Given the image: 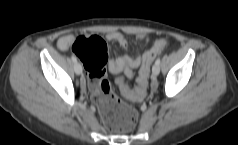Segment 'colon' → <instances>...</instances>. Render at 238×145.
Segmentation results:
<instances>
[{"label": "colon", "instance_id": "colon-1", "mask_svg": "<svg viewBox=\"0 0 238 145\" xmlns=\"http://www.w3.org/2000/svg\"><path fill=\"white\" fill-rule=\"evenodd\" d=\"M166 46V40H159L143 55L138 85L135 89H130L123 78L117 80L126 98L140 101L145 97L151 64ZM72 51L84 64L92 99L108 129L114 132H125L133 129L137 123V111L114 94L106 79L105 67L108 55L103 39L98 36L76 37L72 44Z\"/></svg>", "mask_w": 238, "mask_h": 145}]
</instances>
